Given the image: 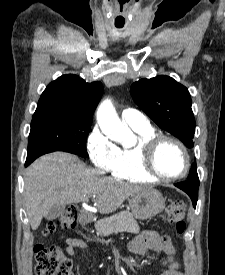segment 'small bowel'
<instances>
[{
  "instance_id": "small-bowel-1",
  "label": "small bowel",
  "mask_w": 225,
  "mask_h": 275,
  "mask_svg": "<svg viewBox=\"0 0 225 275\" xmlns=\"http://www.w3.org/2000/svg\"><path fill=\"white\" fill-rule=\"evenodd\" d=\"M78 249H88V245L80 238L71 237L66 240L65 252L69 256H75ZM129 249L132 253L143 255L149 251L161 253L165 251L162 237L155 231H144L134 238ZM166 268L161 275H183L177 262L167 259Z\"/></svg>"
}]
</instances>
